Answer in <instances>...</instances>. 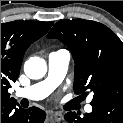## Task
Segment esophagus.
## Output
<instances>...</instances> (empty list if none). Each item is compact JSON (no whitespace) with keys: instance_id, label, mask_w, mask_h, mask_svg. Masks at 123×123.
Segmentation results:
<instances>
[{"instance_id":"obj_1","label":"esophagus","mask_w":123,"mask_h":123,"mask_svg":"<svg viewBox=\"0 0 123 123\" xmlns=\"http://www.w3.org/2000/svg\"><path fill=\"white\" fill-rule=\"evenodd\" d=\"M49 117L55 120L56 122L63 120V114L60 112L49 113Z\"/></svg>"}]
</instances>
